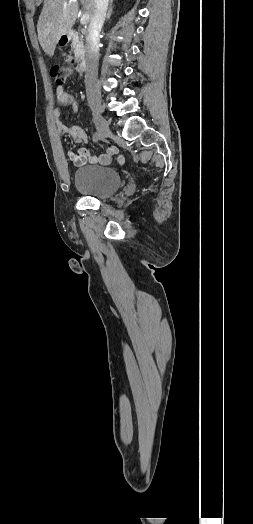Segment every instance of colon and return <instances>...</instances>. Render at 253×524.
Instances as JSON below:
<instances>
[{
	"instance_id": "colon-1",
	"label": "colon",
	"mask_w": 253,
	"mask_h": 524,
	"mask_svg": "<svg viewBox=\"0 0 253 524\" xmlns=\"http://www.w3.org/2000/svg\"><path fill=\"white\" fill-rule=\"evenodd\" d=\"M78 55L77 53H62L61 65L55 64L50 68L51 76L55 80L56 88L62 89L67 79L73 73H76L78 77L83 75L81 70H78ZM120 163L125 161L123 156L119 157Z\"/></svg>"
}]
</instances>
